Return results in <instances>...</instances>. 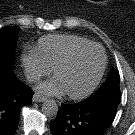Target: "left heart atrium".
I'll list each match as a JSON object with an SVG mask.
<instances>
[{"label": "left heart atrium", "instance_id": "obj_1", "mask_svg": "<svg viewBox=\"0 0 135 135\" xmlns=\"http://www.w3.org/2000/svg\"><path fill=\"white\" fill-rule=\"evenodd\" d=\"M36 91L42 96H61L66 93L65 87L56 76L38 84L36 86Z\"/></svg>", "mask_w": 135, "mask_h": 135}]
</instances>
